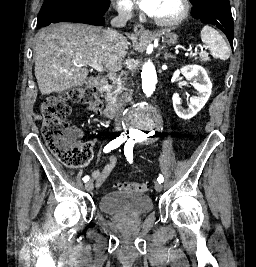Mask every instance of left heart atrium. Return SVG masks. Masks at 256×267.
I'll return each mask as SVG.
<instances>
[{"instance_id": "39dd6f15", "label": "left heart atrium", "mask_w": 256, "mask_h": 267, "mask_svg": "<svg viewBox=\"0 0 256 267\" xmlns=\"http://www.w3.org/2000/svg\"><path fill=\"white\" fill-rule=\"evenodd\" d=\"M170 0H143L142 9L156 20L159 25H163L164 15Z\"/></svg>"}]
</instances>
